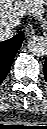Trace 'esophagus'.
<instances>
[{
  "instance_id": "34e87169",
  "label": "esophagus",
  "mask_w": 47,
  "mask_h": 129,
  "mask_svg": "<svg viewBox=\"0 0 47 129\" xmlns=\"http://www.w3.org/2000/svg\"><path fill=\"white\" fill-rule=\"evenodd\" d=\"M35 34V29L33 26H27L25 28V35L26 37H32Z\"/></svg>"
}]
</instances>
